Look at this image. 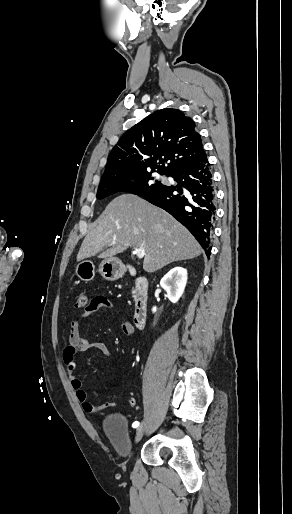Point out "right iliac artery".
Instances as JSON below:
<instances>
[{"label": "right iliac artery", "instance_id": "obj_1", "mask_svg": "<svg viewBox=\"0 0 292 514\" xmlns=\"http://www.w3.org/2000/svg\"><path fill=\"white\" fill-rule=\"evenodd\" d=\"M139 426V422L138 421H135L133 424H132V427L133 428H137Z\"/></svg>", "mask_w": 292, "mask_h": 514}]
</instances>
